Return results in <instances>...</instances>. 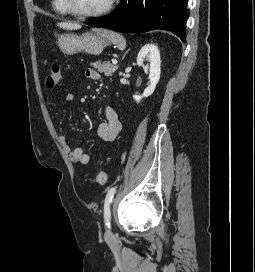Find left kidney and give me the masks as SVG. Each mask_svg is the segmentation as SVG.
<instances>
[{
    "label": "left kidney",
    "instance_id": "obj_1",
    "mask_svg": "<svg viewBox=\"0 0 255 272\" xmlns=\"http://www.w3.org/2000/svg\"><path fill=\"white\" fill-rule=\"evenodd\" d=\"M147 61L149 64L144 65ZM137 65L149 69L150 85L144 90L142 95H133L134 100L139 103L143 98L153 94L161 74V60L159 49L155 44L144 45L138 53Z\"/></svg>",
    "mask_w": 255,
    "mask_h": 272
}]
</instances>
